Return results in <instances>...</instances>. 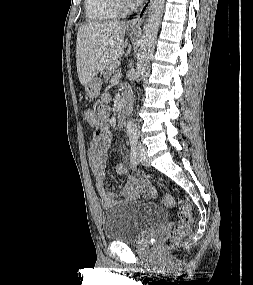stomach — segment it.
Instances as JSON below:
<instances>
[{"mask_svg": "<svg viewBox=\"0 0 253 285\" xmlns=\"http://www.w3.org/2000/svg\"><path fill=\"white\" fill-rule=\"evenodd\" d=\"M102 81L100 78H93L86 86V97L89 99L96 98L101 90Z\"/></svg>", "mask_w": 253, "mask_h": 285, "instance_id": "0dacf381", "label": "stomach"}]
</instances>
